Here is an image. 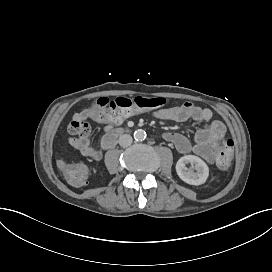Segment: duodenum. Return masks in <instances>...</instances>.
<instances>
[{
    "instance_id": "obj_1",
    "label": "duodenum",
    "mask_w": 272,
    "mask_h": 272,
    "mask_svg": "<svg viewBox=\"0 0 272 272\" xmlns=\"http://www.w3.org/2000/svg\"><path fill=\"white\" fill-rule=\"evenodd\" d=\"M126 133V130L123 128L114 129L106 132L102 137L101 145L104 149L112 148L116 142V139Z\"/></svg>"
}]
</instances>
